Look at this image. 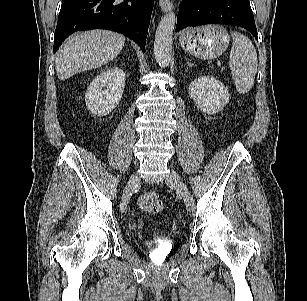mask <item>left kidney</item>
<instances>
[{"label":"left kidney","instance_id":"1","mask_svg":"<svg viewBox=\"0 0 307 301\" xmlns=\"http://www.w3.org/2000/svg\"><path fill=\"white\" fill-rule=\"evenodd\" d=\"M189 95L197 107L208 114L218 113L229 102V93L224 84L208 75L191 82Z\"/></svg>","mask_w":307,"mask_h":301}]
</instances>
